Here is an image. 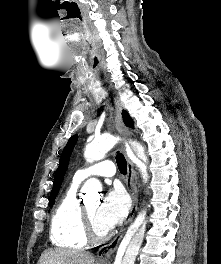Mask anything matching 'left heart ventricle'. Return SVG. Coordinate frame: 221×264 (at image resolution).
Instances as JSON below:
<instances>
[{
    "instance_id": "1",
    "label": "left heart ventricle",
    "mask_w": 221,
    "mask_h": 264,
    "mask_svg": "<svg viewBox=\"0 0 221 264\" xmlns=\"http://www.w3.org/2000/svg\"><path fill=\"white\" fill-rule=\"evenodd\" d=\"M99 206V202L94 200L91 202H87L85 204V207L89 213V216L93 222L94 228L98 233H105L106 231H108L97 219V209Z\"/></svg>"
}]
</instances>
